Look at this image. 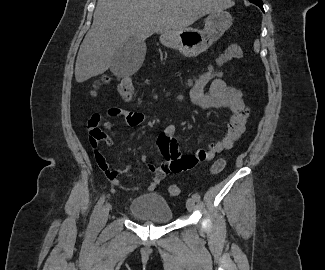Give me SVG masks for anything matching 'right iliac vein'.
I'll list each match as a JSON object with an SVG mask.
<instances>
[{"mask_svg":"<svg viewBox=\"0 0 325 270\" xmlns=\"http://www.w3.org/2000/svg\"><path fill=\"white\" fill-rule=\"evenodd\" d=\"M110 209H111L110 203H107L103 206V208L98 216L97 222H96V224L98 226L104 225L106 223L108 216H109Z\"/></svg>","mask_w":325,"mask_h":270,"instance_id":"63e3f726","label":"right iliac vein"}]
</instances>
